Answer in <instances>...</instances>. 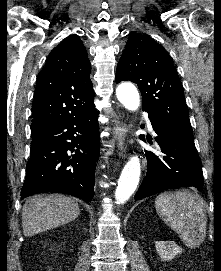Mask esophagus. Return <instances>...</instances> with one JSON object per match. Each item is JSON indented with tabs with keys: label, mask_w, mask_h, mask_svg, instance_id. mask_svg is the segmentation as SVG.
Masks as SVG:
<instances>
[{
	"label": "esophagus",
	"mask_w": 221,
	"mask_h": 271,
	"mask_svg": "<svg viewBox=\"0 0 221 271\" xmlns=\"http://www.w3.org/2000/svg\"><path fill=\"white\" fill-rule=\"evenodd\" d=\"M126 131V127L121 125L114 126L113 128V136L116 139V145L120 151L123 150L124 147Z\"/></svg>",
	"instance_id": "esophagus-1"
}]
</instances>
